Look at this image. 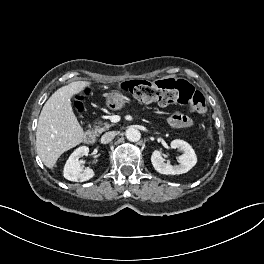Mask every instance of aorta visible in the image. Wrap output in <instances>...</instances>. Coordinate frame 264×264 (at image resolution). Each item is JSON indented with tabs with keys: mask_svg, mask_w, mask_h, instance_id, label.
<instances>
[{
	"mask_svg": "<svg viewBox=\"0 0 264 264\" xmlns=\"http://www.w3.org/2000/svg\"><path fill=\"white\" fill-rule=\"evenodd\" d=\"M125 136L126 138L131 141V142H137L140 140L141 138V133L139 130L133 128V127H130L126 130L125 132Z\"/></svg>",
	"mask_w": 264,
	"mask_h": 264,
	"instance_id": "762f6f07",
	"label": "aorta"
}]
</instances>
